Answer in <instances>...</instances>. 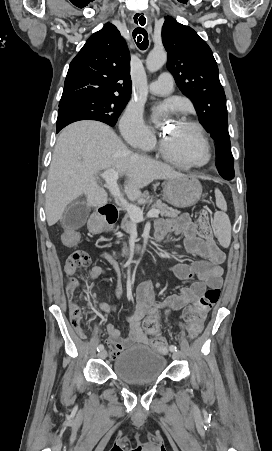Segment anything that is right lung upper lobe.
Returning a JSON list of instances; mask_svg holds the SVG:
<instances>
[{
    "label": "right lung upper lobe",
    "mask_w": 272,
    "mask_h": 451,
    "mask_svg": "<svg viewBox=\"0 0 272 451\" xmlns=\"http://www.w3.org/2000/svg\"><path fill=\"white\" fill-rule=\"evenodd\" d=\"M61 100L84 96L129 98L130 54L117 28L106 23L72 60Z\"/></svg>",
    "instance_id": "cb5924a9"
}]
</instances>
